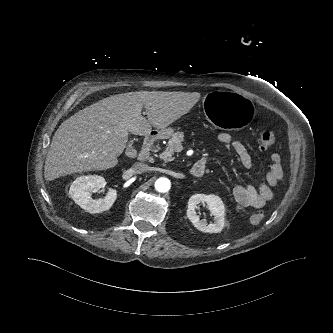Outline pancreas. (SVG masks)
<instances>
[{
	"label": "pancreas",
	"instance_id": "cf45deb5",
	"mask_svg": "<svg viewBox=\"0 0 333 333\" xmlns=\"http://www.w3.org/2000/svg\"><path fill=\"white\" fill-rule=\"evenodd\" d=\"M183 140V132L173 133L168 141L165 151L161 154V159L165 162L171 161L173 153L178 151V149L181 147V143Z\"/></svg>",
	"mask_w": 333,
	"mask_h": 333
}]
</instances>
